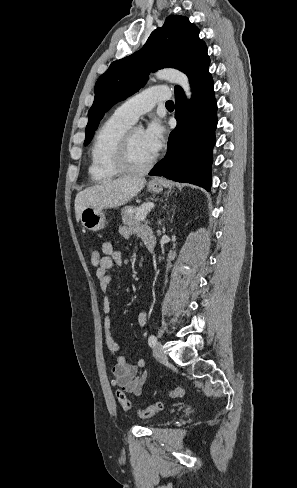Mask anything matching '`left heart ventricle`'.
<instances>
[{
    "instance_id": "obj_1",
    "label": "left heart ventricle",
    "mask_w": 297,
    "mask_h": 488,
    "mask_svg": "<svg viewBox=\"0 0 297 488\" xmlns=\"http://www.w3.org/2000/svg\"><path fill=\"white\" fill-rule=\"evenodd\" d=\"M129 157L130 163L136 167L146 165L154 157L143 141L142 131H132Z\"/></svg>"
}]
</instances>
